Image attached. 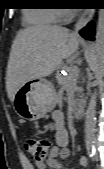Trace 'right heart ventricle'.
<instances>
[{
    "instance_id": "obj_1",
    "label": "right heart ventricle",
    "mask_w": 104,
    "mask_h": 169,
    "mask_svg": "<svg viewBox=\"0 0 104 169\" xmlns=\"http://www.w3.org/2000/svg\"><path fill=\"white\" fill-rule=\"evenodd\" d=\"M61 12L56 8H37L25 12V18L34 24L49 25L60 20Z\"/></svg>"
}]
</instances>
